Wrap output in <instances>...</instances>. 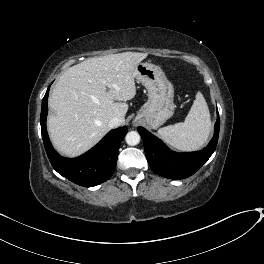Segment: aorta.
Masks as SVG:
<instances>
[{
	"label": "aorta",
	"mask_w": 264,
	"mask_h": 264,
	"mask_svg": "<svg viewBox=\"0 0 264 264\" xmlns=\"http://www.w3.org/2000/svg\"><path fill=\"white\" fill-rule=\"evenodd\" d=\"M126 143L130 146H135L140 142V135L136 131H130L125 137Z\"/></svg>",
	"instance_id": "aorta-1"
}]
</instances>
